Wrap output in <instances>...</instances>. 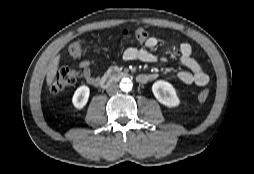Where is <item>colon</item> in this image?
<instances>
[{"label": "colon", "instance_id": "colon-1", "mask_svg": "<svg viewBox=\"0 0 254 174\" xmlns=\"http://www.w3.org/2000/svg\"><path fill=\"white\" fill-rule=\"evenodd\" d=\"M150 36V31L144 27H135L123 29L115 34L120 40H131L136 42H145ZM98 37L97 35L95 36ZM85 38L73 41L69 46V53L72 57H80L84 53ZM80 78V73L72 68H60L56 71L53 80L49 86V92L57 95L66 88L74 85ZM208 88L202 89L198 94V101L205 102L209 97Z\"/></svg>", "mask_w": 254, "mask_h": 174}]
</instances>
